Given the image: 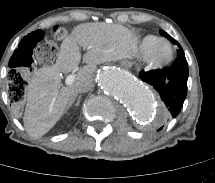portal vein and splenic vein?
I'll use <instances>...</instances> for the list:
<instances>
[{
	"instance_id": "18ae733b",
	"label": "portal vein and splenic vein",
	"mask_w": 215,
	"mask_h": 183,
	"mask_svg": "<svg viewBox=\"0 0 215 183\" xmlns=\"http://www.w3.org/2000/svg\"><path fill=\"white\" fill-rule=\"evenodd\" d=\"M75 80V75L74 74H70L67 76L65 83L66 85H71Z\"/></svg>"
}]
</instances>
